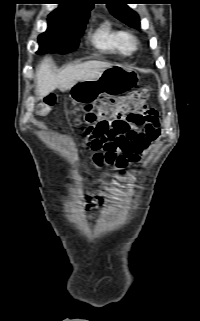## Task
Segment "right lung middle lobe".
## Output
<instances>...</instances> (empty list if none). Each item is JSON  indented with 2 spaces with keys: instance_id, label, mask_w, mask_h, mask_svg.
Here are the masks:
<instances>
[{
  "instance_id": "obj_1",
  "label": "right lung middle lobe",
  "mask_w": 200,
  "mask_h": 321,
  "mask_svg": "<svg viewBox=\"0 0 200 321\" xmlns=\"http://www.w3.org/2000/svg\"><path fill=\"white\" fill-rule=\"evenodd\" d=\"M88 14L72 15L67 17L48 16V29L38 37V54L68 53L78 46V36L85 28ZM73 32L77 37L72 38Z\"/></svg>"
}]
</instances>
